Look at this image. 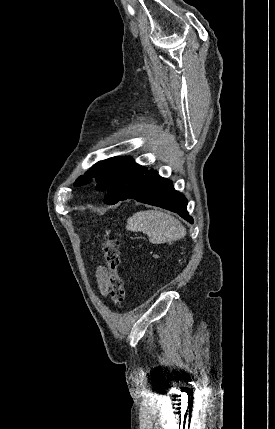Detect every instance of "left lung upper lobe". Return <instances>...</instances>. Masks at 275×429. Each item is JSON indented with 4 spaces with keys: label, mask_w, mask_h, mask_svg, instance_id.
<instances>
[{
    "label": "left lung upper lobe",
    "mask_w": 275,
    "mask_h": 429,
    "mask_svg": "<svg viewBox=\"0 0 275 429\" xmlns=\"http://www.w3.org/2000/svg\"><path fill=\"white\" fill-rule=\"evenodd\" d=\"M147 169V167L137 164L130 157L109 158L96 163L85 173V176H80L74 185L81 186L91 182L93 179L98 183L96 189L99 191L108 190L111 186H116L119 190V197H105L104 199L106 204H115L127 192L130 185Z\"/></svg>",
    "instance_id": "5c2ea615"
}]
</instances>
